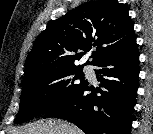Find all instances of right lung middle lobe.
<instances>
[{
  "label": "right lung middle lobe",
  "mask_w": 153,
  "mask_h": 134,
  "mask_svg": "<svg viewBox=\"0 0 153 134\" xmlns=\"http://www.w3.org/2000/svg\"><path fill=\"white\" fill-rule=\"evenodd\" d=\"M82 70V66L61 67L23 79L15 123L45 114L83 89L88 81Z\"/></svg>",
  "instance_id": "1"
}]
</instances>
